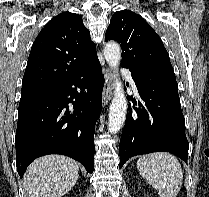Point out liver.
Listing matches in <instances>:
<instances>
[{
    "label": "liver",
    "instance_id": "6515ba94",
    "mask_svg": "<svg viewBox=\"0 0 209 197\" xmlns=\"http://www.w3.org/2000/svg\"><path fill=\"white\" fill-rule=\"evenodd\" d=\"M79 164L62 155H47L32 162L24 175L28 197H62L76 184Z\"/></svg>",
    "mask_w": 209,
    "mask_h": 197
}]
</instances>
